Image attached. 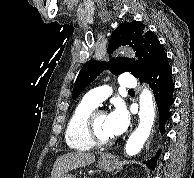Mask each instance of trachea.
Instances as JSON below:
<instances>
[{
  "label": "trachea",
  "instance_id": "trachea-1",
  "mask_svg": "<svg viewBox=\"0 0 194 178\" xmlns=\"http://www.w3.org/2000/svg\"><path fill=\"white\" fill-rule=\"evenodd\" d=\"M129 92H134V90L130 89Z\"/></svg>",
  "mask_w": 194,
  "mask_h": 178
}]
</instances>
